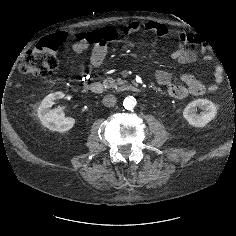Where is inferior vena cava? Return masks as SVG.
I'll return each mask as SVG.
<instances>
[{
  "label": "inferior vena cava",
  "instance_id": "602c4592",
  "mask_svg": "<svg viewBox=\"0 0 236 236\" xmlns=\"http://www.w3.org/2000/svg\"><path fill=\"white\" fill-rule=\"evenodd\" d=\"M116 97L114 95H106L103 100L102 103L104 106L106 107H113L116 104Z\"/></svg>",
  "mask_w": 236,
  "mask_h": 236
}]
</instances>
